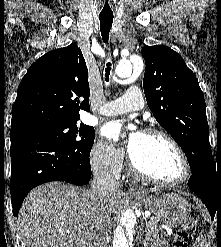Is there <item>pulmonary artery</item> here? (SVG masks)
I'll return each mask as SVG.
<instances>
[{
	"label": "pulmonary artery",
	"instance_id": "1",
	"mask_svg": "<svg viewBox=\"0 0 221 247\" xmlns=\"http://www.w3.org/2000/svg\"><path fill=\"white\" fill-rule=\"evenodd\" d=\"M144 107V100L140 89L131 86L126 93L113 101L106 103L99 111L103 116H114L129 111L140 110Z\"/></svg>",
	"mask_w": 221,
	"mask_h": 247
}]
</instances>
